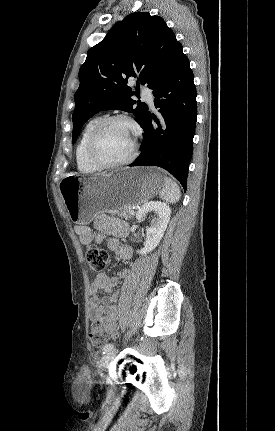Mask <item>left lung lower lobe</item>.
Listing matches in <instances>:
<instances>
[{
    "mask_svg": "<svg viewBox=\"0 0 275 431\" xmlns=\"http://www.w3.org/2000/svg\"><path fill=\"white\" fill-rule=\"evenodd\" d=\"M194 76L180 44L168 66L153 86L154 105L161 114L150 111L141 127L144 138L141 153L129 166H158L170 172L186 190L193 152L197 103ZM155 121L156 125L152 124Z\"/></svg>",
    "mask_w": 275,
    "mask_h": 431,
    "instance_id": "1",
    "label": "left lung lower lobe"
}]
</instances>
